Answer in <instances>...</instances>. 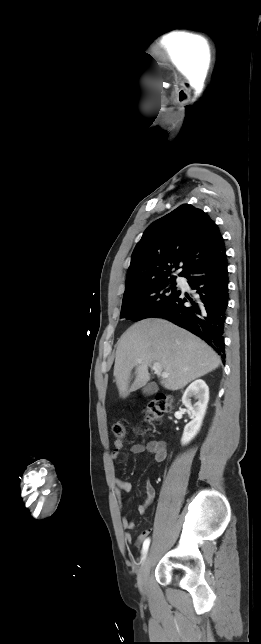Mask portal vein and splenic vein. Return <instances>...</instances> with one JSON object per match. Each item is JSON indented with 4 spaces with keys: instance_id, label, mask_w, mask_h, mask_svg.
Here are the masks:
<instances>
[{
    "instance_id": "1",
    "label": "portal vein and splenic vein",
    "mask_w": 261,
    "mask_h": 644,
    "mask_svg": "<svg viewBox=\"0 0 261 644\" xmlns=\"http://www.w3.org/2000/svg\"><path fill=\"white\" fill-rule=\"evenodd\" d=\"M138 363H141V361L139 360ZM152 368L154 372L162 378H167L169 376L168 373L162 372L161 365L158 362H154Z\"/></svg>"
}]
</instances>
